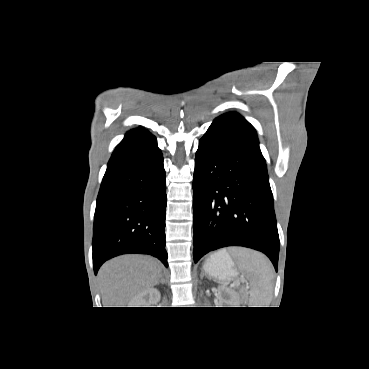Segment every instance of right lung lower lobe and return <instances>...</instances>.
I'll use <instances>...</instances> for the list:
<instances>
[{
	"mask_svg": "<svg viewBox=\"0 0 369 369\" xmlns=\"http://www.w3.org/2000/svg\"><path fill=\"white\" fill-rule=\"evenodd\" d=\"M163 157L147 130L128 133L114 150L94 216L93 266L125 253L149 254L168 267Z\"/></svg>",
	"mask_w": 369,
	"mask_h": 369,
	"instance_id": "right-lung-lower-lobe-1",
	"label": "right lung lower lobe"
}]
</instances>
